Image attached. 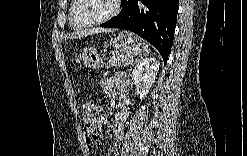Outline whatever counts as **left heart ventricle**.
<instances>
[{"instance_id":"obj_1","label":"left heart ventricle","mask_w":247,"mask_h":156,"mask_svg":"<svg viewBox=\"0 0 247 156\" xmlns=\"http://www.w3.org/2000/svg\"><path fill=\"white\" fill-rule=\"evenodd\" d=\"M112 8V1L84 0L81 2L76 18L81 23L93 22L107 15Z\"/></svg>"}]
</instances>
